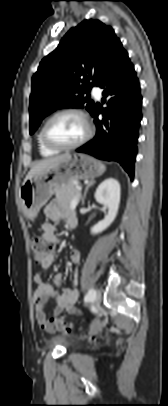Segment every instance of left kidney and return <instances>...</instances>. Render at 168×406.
Returning a JSON list of instances; mask_svg holds the SVG:
<instances>
[{"label":"left kidney","mask_w":168,"mask_h":406,"mask_svg":"<svg viewBox=\"0 0 168 406\" xmlns=\"http://www.w3.org/2000/svg\"><path fill=\"white\" fill-rule=\"evenodd\" d=\"M94 196L99 204L108 208L105 218L91 228L92 234H98L107 229L116 218L121 196L119 182L114 178L104 180L96 189Z\"/></svg>","instance_id":"1"}]
</instances>
